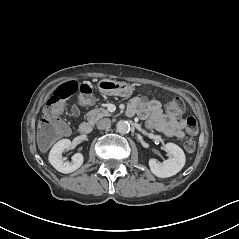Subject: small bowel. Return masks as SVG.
Here are the masks:
<instances>
[{
  "label": "small bowel",
  "instance_id": "1",
  "mask_svg": "<svg viewBox=\"0 0 239 239\" xmlns=\"http://www.w3.org/2000/svg\"><path fill=\"white\" fill-rule=\"evenodd\" d=\"M128 113L146 120L151 129H155L167 137L184 138L186 121L177 116L164 114L157 100L146 97H135L128 105Z\"/></svg>",
  "mask_w": 239,
  "mask_h": 239
}]
</instances>
